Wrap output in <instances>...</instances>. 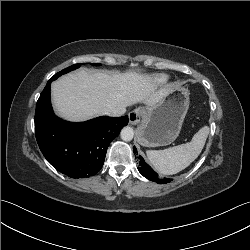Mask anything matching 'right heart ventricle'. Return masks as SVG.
Instances as JSON below:
<instances>
[{
    "mask_svg": "<svg viewBox=\"0 0 250 250\" xmlns=\"http://www.w3.org/2000/svg\"><path fill=\"white\" fill-rule=\"evenodd\" d=\"M154 81L158 84L164 83L167 81V76L165 75H158L154 78Z\"/></svg>",
    "mask_w": 250,
    "mask_h": 250,
    "instance_id": "right-heart-ventricle-1",
    "label": "right heart ventricle"
}]
</instances>
